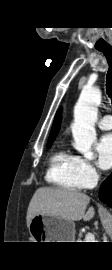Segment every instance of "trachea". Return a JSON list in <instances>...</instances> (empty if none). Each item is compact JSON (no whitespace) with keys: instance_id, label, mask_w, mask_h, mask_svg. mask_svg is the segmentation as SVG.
Segmentation results:
<instances>
[{"instance_id":"1","label":"trachea","mask_w":112,"mask_h":270,"mask_svg":"<svg viewBox=\"0 0 112 270\" xmlns=\"http://www.w3.org/2000/svg\"><path fill=\"white\" fill-rule=\"evenodd\" d=\"M98 50L104 53L109 65L106 77V93L112 100V47L101 48Z\"/></svg>"}]
</instances>
